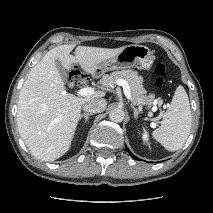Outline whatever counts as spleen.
<instances>
[{
    "instance_id": "1",
    "label": "spleen",
    "mask_w": 213,
    "mask_h": 213,
    "mask_svg": "<svg viewBox=\"0 0 213 213\" xmlns=\"http://www.w3.org/2000/svg\"><path fill=\"white\" fill-rule=\"evenodd\" d=\"M192 123L188 95L178 86L172 102L164 113L161 126L153 131V138L168 151L180 149L186 142Z\"/></svg>"
}]
</instances>
